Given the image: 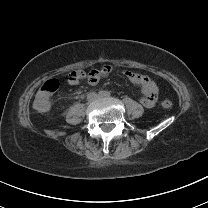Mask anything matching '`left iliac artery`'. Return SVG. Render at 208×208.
<instances>
[{
  "instance_id": "left-iliac-artery-1",
  "label": "left iliac artery",
  "mask_w": 208,
  "mask_h": 208,
  "mask_svg": "<svg viewBox=\"0 0 208 208\" xmlns=\"http://www.w3.org/2000/svg\"><path fill=\"white\" fill-rule=\"evenodd\" d=\"M110 95H111L110 92L105 93V96H107V97H109Z\"/></svg>"
}]
</instances>
